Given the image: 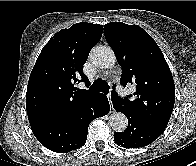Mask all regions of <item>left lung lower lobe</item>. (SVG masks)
<instances>
[{"mask_svg": "<svg viewBox=\"0 0 196 166\" xmlns=\"http://www.w3.org/2000/svg\"><path fill=\"white\" fill-rule=\"evenodd\" d=\"M116 111L125 114L128 119V127L124 132H115L114 140L117 144L125 148H138L146 146L156 140L166 127L144 121L136 115L124 111L119 106L113 104Z\"/></svg>", "mask_w": 196, "mask_h": 166, "instance_id": "obj_1", "label": "left lung lower lobe"}]
</instances>
